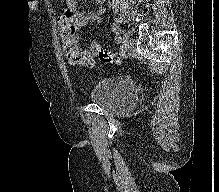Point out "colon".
Segmentation results:
<instances>
[{
	"label": "colon",
	"instance_id": "1",
	"mask_svg": "<svg viewBox=\"0 0 219 192\" xmlns=\"http://www.w3.org/2000/svg\"><path fill=\"white\" fill-rule=\"evenodd\" d=\"M62 51L65 58L72 65L91 67L94 65V57L106 64L120 65L122 63V59L116 53L103 48L97 43L92 44L88 50H81L71 33L63 38Z\"/></svg>",
	"mask_w": 219,
	"mask_h": 192
}]
</instances>
